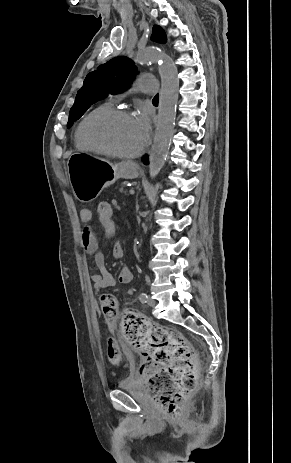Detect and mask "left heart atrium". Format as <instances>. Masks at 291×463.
I'll list each match as a JSON object with an SVG mask.
<instances>
[{"instance_id":"left-heart-atrium-1","label":"left heart atrium","mask_w":291,"mask_h":463,"mask_svg":"<svg viewBox=\"0 0 291 463\" xmlns=\"http://www.w3.org/2000/svg\"><path fill=\"white\" fill-rule=\"evenodd\" d=\"M133 120L143 142H146L151 130L148 115L145 113H140L135 116Z\"/></svg>"}]
</instances>
